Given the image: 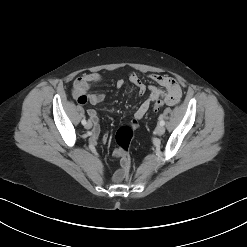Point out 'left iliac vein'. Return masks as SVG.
Wrapping results in <instances>:
<instances>
[{
	"label": "left iliac vein",
	"mask_w": 247,
	"mask_h": 247,
	"mask_svg": "<svg viewBox=\"0 0 247 247\" xmlns=\"http://www.w3.org/2000/svg\"><path fill=\"white\" fill-rule=\"evenodd\" d=\"M164 132H165L164 126L158 125L157 128H156V134L159 135V136H161V135L164 134Z\"/></svg>",
	"instance_id": "1"
}]
</instances>
